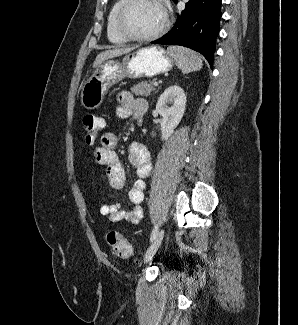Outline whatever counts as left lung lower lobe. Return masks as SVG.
<instances>
[{"label": "left lung lower lobe", "mask_w": 298, "mask_h": 325, "mask_svg": "<svg viewBox=\"0 0 298 325\" xmlns=\"http://www.w3.org/2000/svg\"><path fill=\"white\" fill-rule=\"evenodd\" d=\"M221 1L190 0L185 11L177 16L175 26L151 43L189 47L201 53L212 66L221 19Z\"/></svg>", "instance_id": "obj_1"}]
</instances>
